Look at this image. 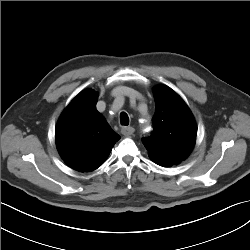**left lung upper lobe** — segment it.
Wrapping results in <instances>:
<instances>
[{"instance_id": "left-lung-upper-lobe-1", "label": "left lung upper lobe", "mask_w": 250, "mask_h": 250, "mask_svg": "<svg viewBox=\"0 0 250 250\" xmlns=\"http://www.w3.org/2000/svg\"><path fill=\"white\" fill-rule=\"evenodd\" d=\"M154 130L142 142L152 160L179 163L190 154L196 140L194 117L181 97L167 86L154 89Z\"/></svg>"}]
</instances>
